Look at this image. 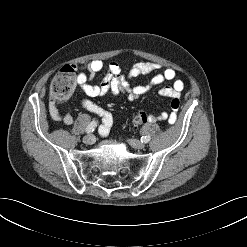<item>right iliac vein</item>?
<instances>
[{"instance_id": "right-iliac-vein-1", "label": "right iliac vein", "mask_w": 247, "mask_h": 247, "mask_svg": "<svg viewBox=\"0 0 247 247\" xmlns=\"http://www.w3.org/2000/svg\"><path fill=\"white\" fill-rule=\"evenodd\" d=\"M83 142L87 145H92L95 142V137L90 134L83 138Z\"/></svg>"}]
</instances>
